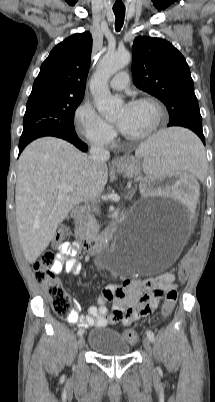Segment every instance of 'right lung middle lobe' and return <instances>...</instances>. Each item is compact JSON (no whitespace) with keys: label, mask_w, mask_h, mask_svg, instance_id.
Returning a JSON list of instances; mask_svg holds the SVG:
<instances>
[{"label":"right lung middle lobe","mask_w":215,"mask_h":402,"mask_svg":"<svg viewBox=\"0 0 215 402\" xmlns=\"http://www.w3.org/2000/svg\"><path fill=\"white\" fill-rule=\"evenodd\" d=\"M83 97L51 93L29 96L19 145L42 136L74 134V113Z\"/></svg>","instance_id":"right-lung-middle-lobe-1"}]
</instances>
